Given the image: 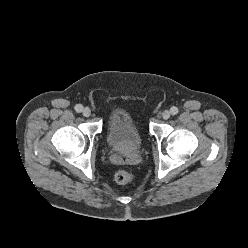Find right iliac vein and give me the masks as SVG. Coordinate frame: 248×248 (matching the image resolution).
Returning <instances> with one entry per match:
<instances>
[{
    "label": "right iliac vein",
    "mask_w": 248,
    "mask_h": 248,
    "mask_svg": "<svg viewBox=\"0 0 248 248\" xmlns=\"http://www.w3.org/2000/svg\"><path fill=\"white\" fill-rule=\"evenodd\" d=\"M82 114H83L85 117H89L90 114H91V110H90L88 107H86V108L83 109Z\"/></svg>",
    "instance_id": "1"
}]
</instances>
